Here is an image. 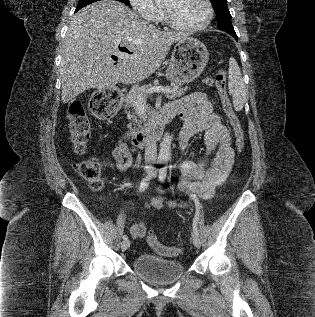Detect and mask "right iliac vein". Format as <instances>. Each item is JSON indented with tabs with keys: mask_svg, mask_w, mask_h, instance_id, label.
<instances>
[{
	"mask_svg": "<svg viewBox=\"0 0 315 317\" xmlns=\"http://www.w3.org/2000/svg\"><path fill=\"white\" fill-rule=\"evenodd\" d=\"M130 246V241L129 240H124L122 243H121V248L123 251L127 250Z\"/></svg>",
	"mask_w": 315,
	"mask_h": 317,
	"instance_id": "63e3f726",
	"label": "right iliac vein"
}]
</instances>
